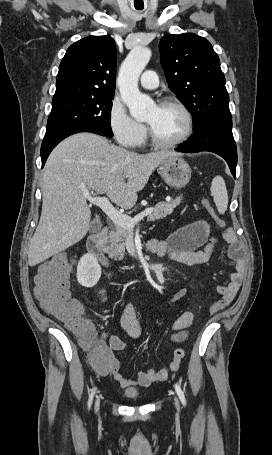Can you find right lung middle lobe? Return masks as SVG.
<instances>
[{
    "instance_id": "right-lung-middle-lobe-1",
    "label": "right lung middle lobe",
    "mask_w": 272,
    "mask_h": 455,
    "mask_svg": "<svg viewBox=\"0 0 272 455\" xmlns=\"http://www.w3.org/2000/svg\"><path fill=\"white\" fill-rule=\"evenodd\" d=\"M113 97H73L53 100L46 132L65 127L91 126L112 137L110 117Z\"/></svg>"
}]
</instances>
